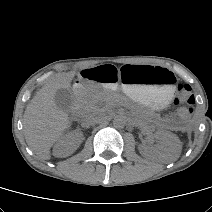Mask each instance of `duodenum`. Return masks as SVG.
I'll return each instance as SVG.
<instances>
[{
	"mask_svg": "<svg viewBox=\"0 0 212 212\" xmlns=\"http://www.w3.org/2000/svg\"><path fill=\"white\" fill-rule=\"evenodd\" d=\"M82 86H78L74 89V104H73V107H72V110L73 111H77L78 109V101H79V98L82 94Z\"/></svg>",
	"mask_w": 212,
	"mask_h": 212,
	"instance_id": "obj_1",
	"label": "duodenum"
}]
</instances>
